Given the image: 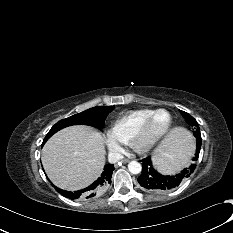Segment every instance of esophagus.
I'll list each match as a JSON object with an SVG mask.
<instances>
[{"label": "esophagus", "instance_id": "esophagus-1", "mask_svg": "<svg viewBox=\"0 0 233 233\" xmlns=\"http://www.w3.org/2000/svg\"><path fill=\"white\" fill-rule=\"evenodd\" d=\"M129 161H130V160L127 159V158H124V159L122 160L123 163H128Z\"/></svg>", "mask_w": 233, "mask_h": 233}]
</instances>
